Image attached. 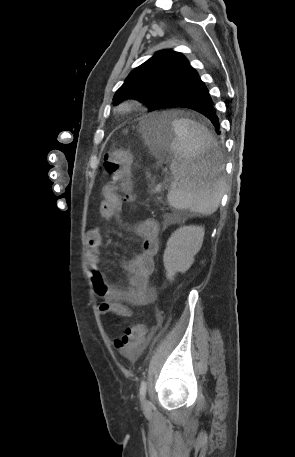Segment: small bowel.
<instances>
[{
    "mask_svg": "<svg viewBox=\"0 0 295 457\" xmlns=\"http://www.w3.org/2000/svg\"><path fill=\"white\" fill-rule=\"evenodd\" d=\"M103 201L99 207V218L107 221L118 214L122 208L119 186L112 182L102 189ZM135 233L141 238V252L133 259L123 262V268L129 275L126 289L116 288L108 283L100 267V247L103 242L101 230L94 227L87 233V260L90 279L94 292L102 299L99 305L101 315L114 314L121 318H131L133 311L129 307L147 306L156 300V291L149 284V277L154 269V257L159 250V227L155 220L145 219L135 227ZM138 348L125 356L135 358Z\"/></svg>",
    "mask_w": 295,
    "mask_h": 457,
    "instance_id": "small-bowel-1",
    "label": "small bowel"
}]
</instances>
